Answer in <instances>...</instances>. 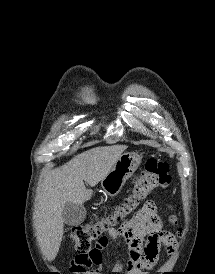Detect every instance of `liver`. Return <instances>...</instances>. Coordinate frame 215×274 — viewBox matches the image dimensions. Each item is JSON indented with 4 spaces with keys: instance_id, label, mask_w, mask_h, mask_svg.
I'll return each mask as SVG.
<instances>
[{
    "instance_id": "1",
    "label": "liver",
    "mask_w": 215,
    "mask_h": 274,
    "mask_svg": "<svg viewBox=\"0 0 215 274\" xmlns=\"http://www.w3.org/2000/svg\"><path fill=\"white\" fill-rule=\"evenodd\" d=\"M126 148L114 145L90 149L44 177L38 189L34 224L39 246L47 260L55 259L61 245L64 205L67 202L82 205L88 201L92 190L85 187L84 181L91 187L97 185L109 174Z\"/></svg>"
}]
</instances>
